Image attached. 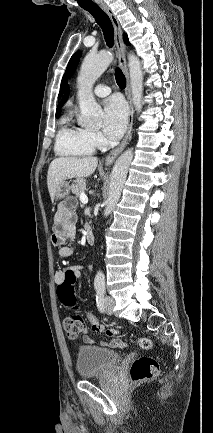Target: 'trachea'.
Segmentation results:
<instances>
[{"label": "trachea", "instance_id": "trachea-1", "mask_svg": "<svg viewBox=\"0 0 213 433\" xmlns=\"http://www.w3.org/2000/svg\"><path fill=\"white\" fill-rule=\"evenodd\" d=\"M96 20L97 24L101 27L104 35V39L108 47L114 45V29L109 16L98 6L85 8ZM116 83L120 88H125L126 78L120 68L116 69L115 72Z\"/></svg>", "mask_w": 213, "mask_h": 433}]
</instances>
